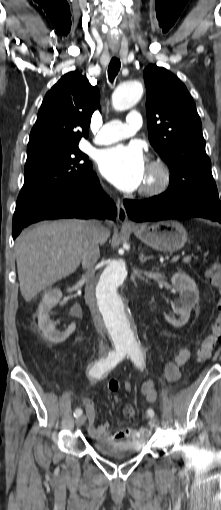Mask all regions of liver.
Listing matches in <instances>:
<instances>
[{
	"instance_id": "1",
	"label": "liver",
	"mask_w": 221,
	"mask_h": 510,
	"mask_svg": "<svg viewBox=\"0 0 221 510\" xmlns=\"http://www.w3.org/2000/svg\"><path fill=\"white\" fill-rule=\"evenodd\" d=\"M88 221L78 219L44 222L22 232L15 242L20 291L30 302L39 292L74 273L80 265L78 249ZM110 231L103 228L99 243Z\"/></svg>"
}]
</instances>
